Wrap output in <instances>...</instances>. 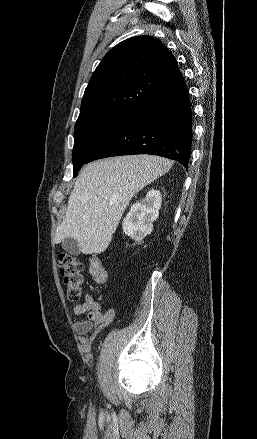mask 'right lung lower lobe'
<instances>
[{"label":"right lung lower lobe","mask_w":257,"mask_h":439,"mask_svg":"<svg viewBox=\"0 0 257 439\" xmlns=\"http://www.w3.org/2000/svg\"><path fill=\"white\" fill-rule=\"evenodd\" d=\"M191 143L189 92L181 82L128 115L85 163L111 156L153 154L176 160L187 168Z\"/></svg>","instance_id":"1"}]
</instances>
